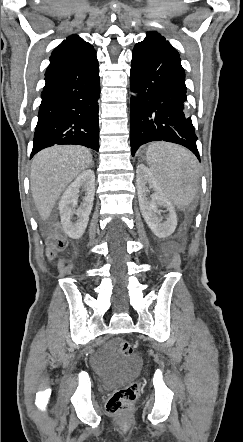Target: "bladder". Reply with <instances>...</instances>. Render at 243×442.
Instances as JSON below:
<instances>
[{
	"label": "bladder",
	"instance_id": "bladder-1",
	"mask_svg": "<svg viewBox=\"0 0 243 442\" xmlns=\"http://www.w3.org/2000/svg\"><path fill=\"white\" fill-rule=\"evenodd\" d=\"M118 360L116 365V379L125 381L135 377L138 372L140 362L138 359H129L128 356Z\"/></svg>",
	"mask_w": 243,
	"mask_h": 442
}]
</instances>
